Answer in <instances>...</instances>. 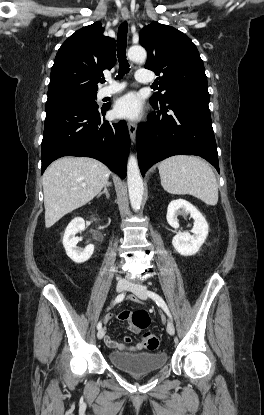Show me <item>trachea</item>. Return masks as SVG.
I'll list each match as a JSON object with an SVG mask.
<instances>
[{
	"label": "trachea",
	"instance_id": "1",
	"mask_svg": "<svg viewBox=\"0 0 264 415\" xmlns=\"http://www.w3.org/2000/svg\"><path fill=\"white\" fill-rule=\"evenodd\" d=\"M127 23L123 22L118 30L117 35V57L119 62L118 78H121L124 74L129 72V63L126 57V44H127ZM105 80L102 79L101 83Z\"/></svg>",
	"mask_w": 264,
	"mask_h": 415
}]
</instances>
